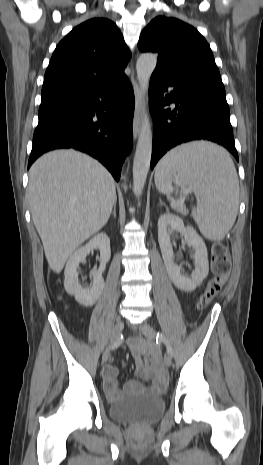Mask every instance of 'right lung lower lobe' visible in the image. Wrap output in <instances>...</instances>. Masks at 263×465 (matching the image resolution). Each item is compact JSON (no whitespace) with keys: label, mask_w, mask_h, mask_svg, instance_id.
Instances as JSON below:
<instances>
[{"label":"right lung lower lobe","mask_w":263,"mask_h":465,"mask_svg":"<svg viewBox=\"0 0 263 465\" xmlns=\"http://www.w3.org/2000/svg\"><path fill=\"white\" fill-rule=\"evenodd\" d=\"M134 105L126 75L104 87L42 99L28 168L47 151L74 148L98 159L119 181L132 149Z\"/></svg>","instance_id":"98d812e1"}]
</instances>
